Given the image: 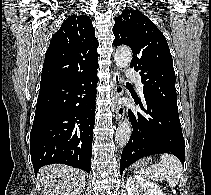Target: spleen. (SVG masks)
Wrapping results in <instances>:
<instances>
[{
	"instance_id": "1",
	"label": "spleen",
	"mask_w": 211,
	"mask_h": 195,
	"mask_svg": "<svg viewBox=\"0 0 211 195\" xmlns=\"http://www.w3.org/2000/svg\"><path fill=\"white\" fill-rule=\"evenodd\" d=\"M137 169V167H136ZM180 160L169 154L160 156L159 164L151 165L146 169H140L138 172L152 180H166L170 186H176L182 177L183 170Z\"/></svg>"
}]
</instances>
